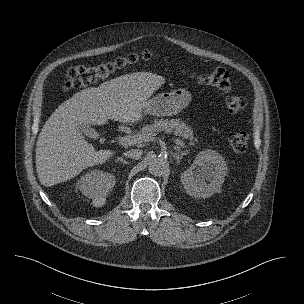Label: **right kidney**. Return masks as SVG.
Segmentation results:
<instances>
[{
  "label": "right kidney",
  "instance_id": "obj_1",
  "mask_svg": "<svg viewBox=\"0 0 304 304\" xmlns=\"http://www.w3.org/2000/svg\"><path fill=\"white\" fill-rule=\"evenodd\" d=\"M115 185V176L103 170H90L77 181V188L88 198L104 203V197Z\"/></svg>",
  "mask_w": 304,
  "mask_h": 304
}]
</instances>
